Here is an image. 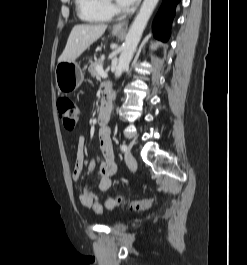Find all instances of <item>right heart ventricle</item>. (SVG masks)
Instances as JSON below:
<instances>
[{"label":"right heart ventricle","instance_id":"1","mask_svg":"<svg viewBox=\"0 0 247 265\" xmlns=\"http://www.w3.org/2000/svg\"><path fill=\"white\" fill-rule=\"evenodd\" d=\"M78 14L81 19L88 22H108L112 18V11L107 0H75Z\"/></svg>","mask_w":247,"mask_h":265}]
</instances>
